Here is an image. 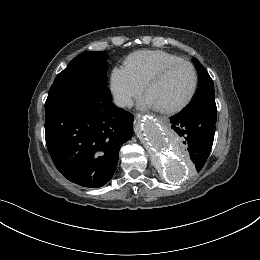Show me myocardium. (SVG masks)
Here are the masks:
<instances>
[{"mask_svg":"<svg viewBox=\"0 0 260 260\" xmlns=\"http://www.w3.org/2000/svg\"><path fill=\"white\" fill-rule=\"evenodd\" d=\"M178 65H187L190 68L191 75H192L190 86H189L188 90L186 91V93L179 100H177L176 102H174L172 104L159 107V109L161 111L172 112L174 110H177L181 106H183L189 100V98L191 97V95L193 94V92L195 90L196 83H197V73H196L194 66L189 61L182 60V59L165 64V65L161 66L160 68H158L153 74H151L145 83V93L147 94L148 91L150 90V88L155 83H157L169 70H171L172 68H174Z\"/></svg>","mask_w":260,"mask_h":260,"instance_id":"myocardium-1","label":"myocardium"}]
</instances>
